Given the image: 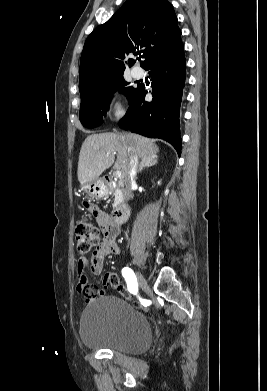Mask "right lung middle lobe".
<instances>
[{
  "mask_svg": "<svg viewBox=\"0 0 267 391\" xmlns=\"http://www.w3.org/2000/svg\"><path fill=\"white\" fill-rule=\"evenodd\" d=\"M123 78V72L106 77L97 85L81 94V106L79 119L84 127L94 128L99 126L100 120L109 108L113 93L118 89L129 100L134 96L137 88L128 87Z\"/></svg>",
  "mask_w": 267,
  "mask_h": 391,
  "instance_id": "dd1d6c3e",
  "label": "right lung middle lobe"
}]
</instances>
